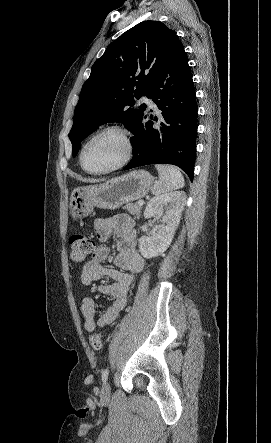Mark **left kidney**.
Returning <instances> with one entry per match:
<instances>
[{"label":"left kidney","mask_w":271,"mask_h":443,"mask_svg":"<svg viewBox=\"0 0 271 443\" xmlns=\"http://www.w3.org/2000/svg\"><path fill=\"white\" fill-rule=\"evenodd\" d=\"M184 192H171L158 198H152L147 204L144 218H162L158 233L155 235H142L139 239V251L143 257L150 259L161 255L169 247L175 229L179 225L181 212L185 206Z\"/></svg>","instance_id":"1"}]
</instances>
